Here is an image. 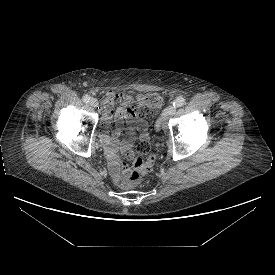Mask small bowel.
I'll return each instance as SVG.
<instances>
[{
  "mask_svg": "<svg viewBox=\"0 0 275 275\" xmlns=\"http://www.w3.org/2000/svg\"><path fill=\"white\" fill-rule=\"evenodd\" d=\"M142 98L143 96L141 94H136L134 96L131 93L125 92H107L102 98L103 126L106 127L112 119L118 123L124 120L134 123L141 122L138 108L142 105ZM116 104L118 107H115ZM141 128L144 129L142 124ZM120 133L121 129L117 127L114 129L111 136H107L105 133L101 134V140L106 150L110 173L118 184H121L129 173V168L126 165L121 170L118 163L117 150L119 147ZM120 146L121 150L126 152V158L131 159L133 154L129 151L130 142L123 141Z\"/></svg>",
  "mask_w": 275,
  "mask_h": 275,
  "instance_id": "1",
  "label": "small bowel"
}]
</instances>
